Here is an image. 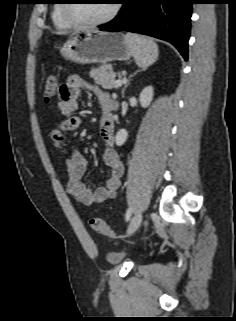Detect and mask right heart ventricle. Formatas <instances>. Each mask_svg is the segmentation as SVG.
<instances>
[{
	"mask_svg": "<svg viewBox=\"0 0 236 321\" xmlns=\"http://www.w3.org/2000/svg\"><path fill=\"white\" fill-rule=\"evenodd\" d=\"M62 3H58L54 6L52 11V20L54 25L59 29H68L72 27V24L68 22L62 13Z\"/></svg>",
	"mask_w": 236,
	"mask_h": 321,
	"instance_id": "right-heart-ventricle-1",
	"label": "right heart ventricle"
}]
</instances>
